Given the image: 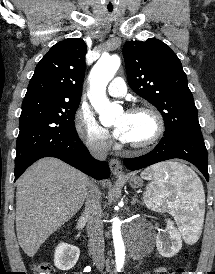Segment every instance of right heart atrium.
Here are the masks:
<instances>
[{
    "label": "right heart atrium",
    "mask_w": 215,
    "mask_h": 274,
    "mask_svg": "<svg viewBox=\"0 0 215 274\" xmlns=\"http://www.w3.org/2000/svg\"><path fill=\"white\" fill-rule=\"evenodd\" d=\"M75 129L90 150L104 152L110 148L111 141L108 131L96 121L91 112L85 109L78 111Z\"/></svg>",
    "instance_id": "1"
}]
</instances>
